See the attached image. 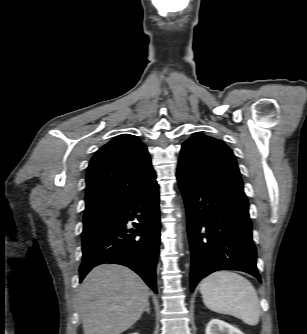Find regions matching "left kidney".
<instances>
[{
  "instance_id": "left-kidney-1",
  "label": "left kidney",
  "mask_w": 307,
  "mask_h": 334,
  "mask_svg": "<svg viewBox=\"0 0 307 334\" xmlns=\"http://www.w3.org/2000/svg\"><path fill=\"white\" fill-rule=\"evenodd\" d=\"M206 334H244L237 328L219 319H212L206 327Z\"/></svg>"
}]
</instances>
